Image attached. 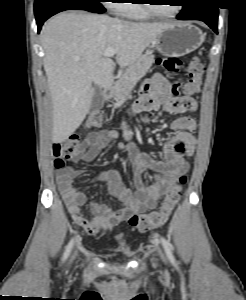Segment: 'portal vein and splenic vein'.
I'll return each instance as SVG.
<instances>
[{
	"mask_svg": "<svg viewBox=\"0 0 246 300\" xmlns=\"http://www.w3.org/2000/svg\"><path fill=\"white\" fill-rule=\"evenodd\" d=\"M115 54H116V49L108 48L104 51L103 56L104 57H113Z\"/></svg>",
	"mask_w": 246,
	"mask_h": 300,
	"instance_id": "portal-vein-and-splenic-vein-1",
	"label": "portal vein and splenic vein"
}]
</instances>
